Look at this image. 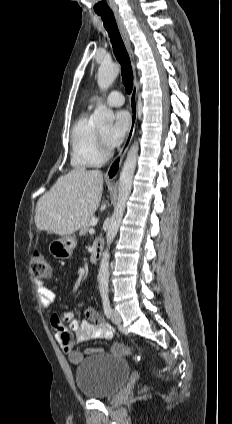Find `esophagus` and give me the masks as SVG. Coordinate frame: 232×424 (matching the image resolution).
Segmentation results:
<instances>
[{
	"mask_svg": "<svg viewBox=\"0 0 232 424\" xmlns=\"http://www.w3.org/2000/svg\"><path fill=\"white\" fill-rule=\"evenodd\" d=\"M114 16L118 25V29L120 31L121 37L123 39V42L125 44L126 50L129 54L130 60H131V64H132V68H133V72H134V86L131 92V96H130V111H131V128L130 131L127 135V138L125 140V143L120 151V153L118 154V156L114 159V161L110 164L105 177L107 179H114L117 177L119 170L121 168V164L123 161V158L128 150V147L132 141L134 132H135V127H136V122H137V93H138V85H137V80H136V71H135V58H134V54H133V50H132V46H131V42L129 39V34L128 31L125 27V24L123 22V19L121 17V15L119 14V12H114Z\"/></svg>",
	"mask_w": 232,
	"mask_h": 424,
	"instance_id": "34e87169",
	"label": "esophagus"
}]
</instances>
